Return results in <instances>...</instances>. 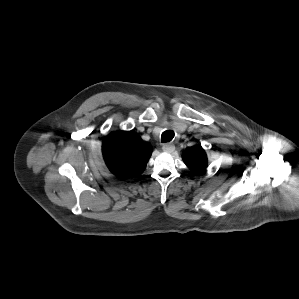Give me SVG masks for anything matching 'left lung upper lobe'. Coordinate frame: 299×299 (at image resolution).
Listing matches in <instances>:
<instances>
[{"label":"left lung upper lobe","mask_w":299,"mask_h":299,"mask_svg":"<svg viewBox=\"0 0 299 299\" xmlns=\"http://www.w3.org/2000/svg\"><path fill=\"white\" fill-rule=\"evenodd\" d=\"M182 158L190 170L195 173L203 172L208 164L206 153L200 145L185 150Z\"/></svg>","instance_id":"5c2ea615"}]
</instances>
